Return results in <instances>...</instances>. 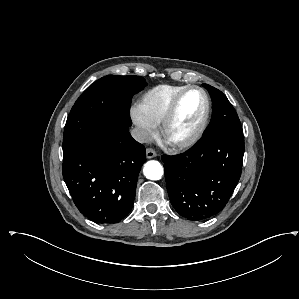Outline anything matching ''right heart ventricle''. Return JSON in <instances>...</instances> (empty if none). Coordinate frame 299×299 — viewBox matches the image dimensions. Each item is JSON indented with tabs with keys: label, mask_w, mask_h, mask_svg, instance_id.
<instances>
[{
	"label": "right heart ventricle",
	"mask_w": 299,
	"mask_h": 299,
	"mask_svg": "<svg viewBox=\"0 0 299 299\" xmlns=\"http://www.w3.org/2000/svg\"><path fill=\"white\" fill-rule=\"evenodd\" d=\"M185 87L167 84L153 87L141 96L138 107L145 117L159 125L176 94Z\"/></svg>",
	"instance_id": "1"
}]
</instances>
